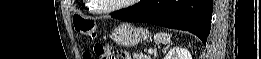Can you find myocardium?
Wrapping results in <instances>:
<instances>
[{
	"mask_svg": "<svg viewBox=\"0 0 261 59\" xmlns=\"http://www.w3.org/2000/svg\"><path fill=\"white\" fill-rule=\"evenodd\" d=\"M92 2H96V1H92ZM130 2H133V1H128L125 4H119V5L108 7V8H95V10L98 13L109 14V13H113L115 11H118V10H121V9L125 8L126 6H128V4Z\"/></svg>",
	"mask_w": 261,
	"mask_h": 59,
	"instance_id": "f54148a6",
	"label": "myocardium"
}]
</instances>
